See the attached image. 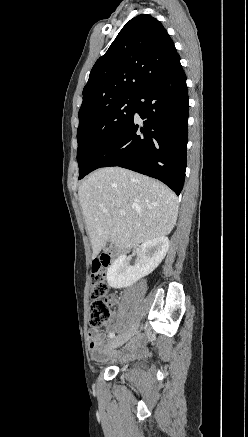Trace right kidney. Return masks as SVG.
<instances>
[{"label":"right kidney","instance_id":"obj_1","mask_svg":"<svg viewBox=\"0 0 248 437\" xmlns=\"http://www.w3.org/2000/svg\"><path fill=\"white\" fill-rule=\"evenodd\" d=\"M169 249V240L162 236L145 241L137 252L134 266L128 264L126 255H120L107 271V281L112 288H125L152 273L162 262Z\"/></svg>","mask_w":248,"mask_h":437}]
</instances>
